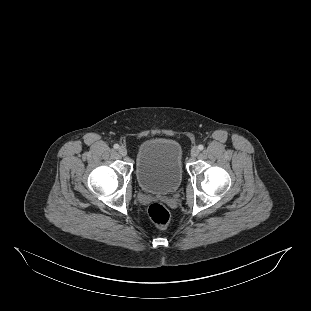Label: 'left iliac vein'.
<instances>
[{"mask_svg":"<svg viewBox=\"0 0 311 311\" xmlns=\"http://www.w3.org/2000/svg\"><path fill=\"white\" fill-rule=\"evenodd\" d=\"M198 154H199V149H198V147L194 146V147L191 149V156H192V157H196V156H198Z\"/></svg>","mask_w":311,"mask_h":311,"instance_id":"left-iliac-vein-1","label":"left iliac vein"}]
</instances>
